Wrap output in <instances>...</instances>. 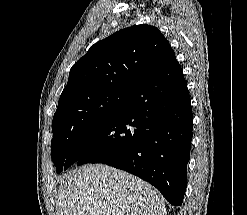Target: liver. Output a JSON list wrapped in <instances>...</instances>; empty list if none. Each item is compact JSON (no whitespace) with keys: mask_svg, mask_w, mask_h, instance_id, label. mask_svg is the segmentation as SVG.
<instances>
[{"mask_svg":"<svg viewBox=\"0 0 247 215\" xmlns=\"http://www.w3.org/2000/svg\"><path fill=\"white\" fill-rule=\"evenodd\" d=\"M57 215H166L164 199L149 183L103 164L65 176Z\"/></svg>","mask_w":247,"mask_h":215,"instance_id":"obj_1","label":"liver"}]
</instances>
